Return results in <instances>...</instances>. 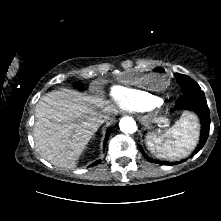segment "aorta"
<instances>
[{
    "label": "aorta",
    "mask_w": 221,
    "mask_h": 221,
    "mask_svg": "<svg viewBox=\"0 0 221 221\" xmlns=\"http://www.w3.org/2000/svg\"><path fill=\"white\" fill-rule=\"evenodd\" d=\"M120 130L125 134H133L137 130V125L132 117L126 116L119 122Z\"/></svg>",
    "instance_id": "obj_1"
}]
</instances>
